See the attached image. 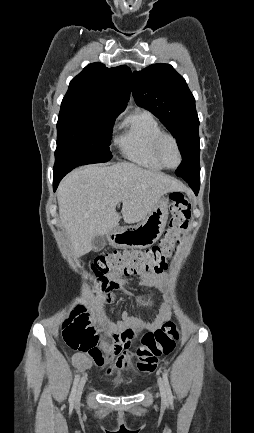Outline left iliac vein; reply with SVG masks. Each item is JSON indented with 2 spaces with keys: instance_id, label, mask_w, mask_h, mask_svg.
I'll return each instance as SVG.
<instances>
[{
  "instance_id": "left-iliac-vein-1",
  "label": "left iliac vein",
  "mask_w": 254,
  "mask_h": 433,
  "mask_svg": "<svg viewBox=\"0 0 254 433\" xmlns=\"http://www.w3.org/2000/svg\"><path fill=\"white\" fill-rule=\"evenodd\" d=\"M158 386H159V390H160V394H161L162 400L166 401L167 400L166 389H165L163 381L160 378H158Z\"/></svg>"
}]
</instances>
